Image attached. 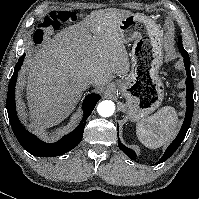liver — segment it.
I'll list each match as a JSON object with an SVG mask.
<instances>
[{
    "label": "liver",
    "instance_id": "1",
    "mask_svg": "<svg viewBox=\"0 0 199 199\" xmlns=\"http://www.w3.org/2000/svg\"><path fill=\"white\" fill-rule=\"evenodd\" d=\"M130 14L116 8L92 11L27 54L26 93L36 127L49 128L68 117L87 88L86 80L95 79L94 85L103 88L114 74L128 73L120 24Z\"/></svg>",
    "mask_w": 199,
    "mask_h": 199
}]
</instances>
